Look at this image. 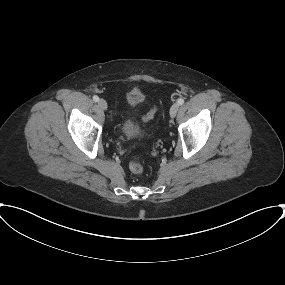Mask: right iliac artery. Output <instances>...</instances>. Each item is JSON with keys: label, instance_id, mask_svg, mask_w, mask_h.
<instances>
[{"label": "right iliac artery", "instance_id": "obj_1", "mask_svg": "<svg viewBox=\"0 0 285 285\" xmlns=\"http://www.w3.org/2000/svg\"><path fill=\"white\" fill-rule=\"evenodd\" d=\"M93 100H94L95 102H98V101H99V97H98L97 95H95V96H93Z\"/></svg>", "mask_w": 285, "mask_h": 285}]
</instances>
